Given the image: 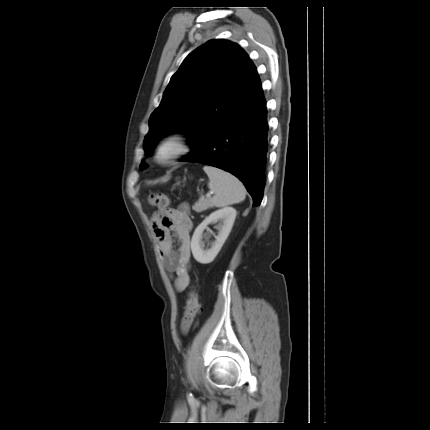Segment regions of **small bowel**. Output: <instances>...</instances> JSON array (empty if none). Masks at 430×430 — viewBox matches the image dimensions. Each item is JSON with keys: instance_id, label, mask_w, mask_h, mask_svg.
<instances>
[{"instance_id": "1", "label": "small bowel", "mask_w": 430, "mask_h": 430, "mask_svg": "<svg viewBox=\"0 0 430 430\" xmlns=\"http://www.w3.org/2000/svg\"><path fill=\"white\" fill-rule=\"evenodd\" d=\"M154 235L159 243L164 268L170 277L175 274L174 287L184 291L190 284V231L192 221L187 204L154 215ZM176 243V247L174 246ZM182 327V326H181Z\"/></svg>"}]
</instances>
